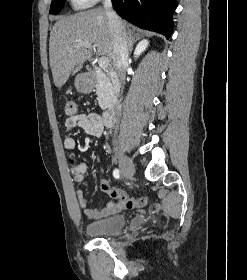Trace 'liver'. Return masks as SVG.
Wrapping results in <instances>:
<instances>
[{"instance_id":"1","label":"liver","mask_w":247,"mask_h":280,"mask_svg":"<svg viewBox=\"0 0 247 280\" xmlns=\"http://www.w3.org/2000/svg\"><path fill=\"white\" fill-rule=\"evenodd\" d=\"M85 43L113 63V36L104 10L79 12L54 24L49 39V61L56 87H62L70 74L77 73L92 56V50L83 46Z\"/></svg>"}]
</instances>
